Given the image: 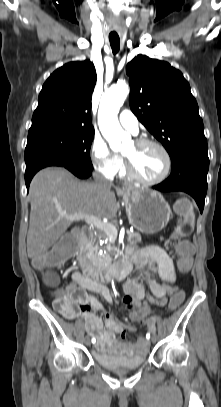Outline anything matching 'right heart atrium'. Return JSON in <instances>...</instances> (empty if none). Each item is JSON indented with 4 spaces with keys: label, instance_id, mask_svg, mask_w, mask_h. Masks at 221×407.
I'll return each mask as SVG.
<instances>
[{
    "label": "right heart atrium",
    "instance_id": "obj_1",
    "mask_svg": "<svg viewBox=\"0 0 221 407\" xmlns=\"http://www.w3.org/2000/svg\"><path fill=\"white\" fill-rule=\"evenodd\" d=\"M90 154L94 168L108 178L114 177L122 166L121 156L111 151L99 137L92 141Z\"/></svg>",
    "mask_w": 221,
    "mask_h": 407
}]
</instances>
